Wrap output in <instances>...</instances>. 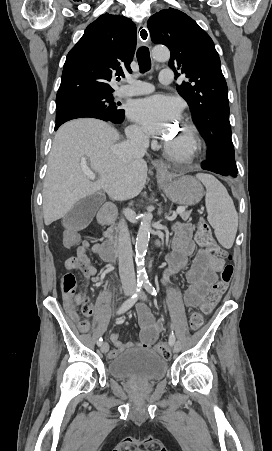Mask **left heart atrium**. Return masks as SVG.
I'll list each match as a JSON object with an SVG mask.
<instances>
[{"label":"left heart atrium","instance_id":"left-heart-atrium-1","mask_svg":"<svg viewBox=\"0 0 272 451\" xmlns=\"http://www.w3.org/2000/svg\"><path fill=\"white\" fill-rule=\"evenodd\" d=\"M133 115L147 132L164 135L180 116L179 105L167 96H154L137 103Z\"/></svg>","mask_w":272,"mask_h":451}]
</instances>
